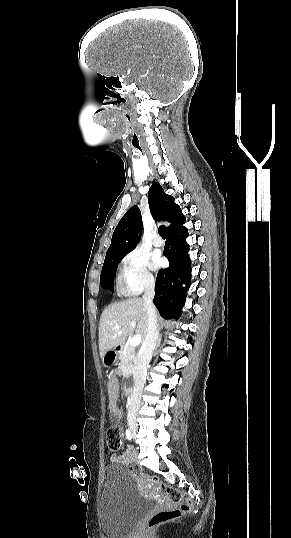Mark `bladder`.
I'll return each instance as SVG.
<instances>
[{
    "instance_id": "bladder-1",
    "label": "bladder",
    "mask_w": 291,
    "mask_h": 538,
    "mask_svg": "<svg viewBox=\"0 0 291 538\" xmlns=\"http://www.w3.org/2000/svg\"><path fill=\"white\" fill-rule=\"evenodd\" d=\"M153 507L139 494L134 477L124 465L112 463L105 468L99 524L106 538H126Z\"/></svg>"
}]
</instances>
